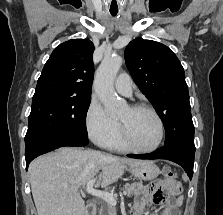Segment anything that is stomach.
<instances>
[{
  "label": "stomach",
  "instance_id": "obj_1",
  "mask_svg": "<svg viewBox=\"0 0 223 215\" xmlns=\"http://www.w3.org/2000/svg\"><path fill=\"white\" fill-rule=\"evenodd\" d=\"M128 171L136 177V179H155L159 175V167L153 161H143L139 165L129 167Z\"/></svg>",
  "mask_w": 223,
  "mask_h": 215
}]
</instances>
